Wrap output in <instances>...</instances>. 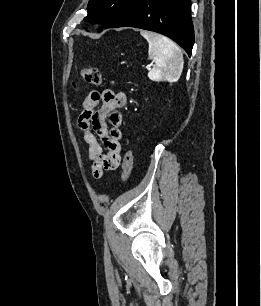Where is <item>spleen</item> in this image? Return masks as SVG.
Instances as JSON below:
<instances>
[{
  "label": "spleen",
  "instance_id": "obj_1",
  "mask_svg": "<svg viewBox=\"0 0 261 306\" xmlns=\"http://www.w3.org/2000/svg\"><path fill=\"white\" fill-rule=\"evenodd\" d=\"M140 34L148 41L149 59L155 62V66L148 72V77L157 82L178 81L184 65L181 49L169 38L158 33L141 31Z\"/></svg>",
  "mask_w": 261,
  "mask_h": 306
}]
</instances>
